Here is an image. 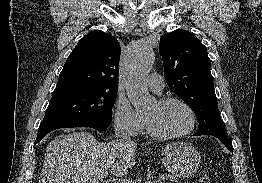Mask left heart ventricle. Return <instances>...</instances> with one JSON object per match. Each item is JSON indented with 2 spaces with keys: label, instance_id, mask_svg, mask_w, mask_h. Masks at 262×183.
<instances>
[{
  "label": "left heart ventricle",
  "instance_id": "left-heart-ventricle-1",
  "mask_svg": "<svg viewBox=\"0 0 262 183\" xmlns=\"http://www.w3.org/2000/svg\"><path fill=\"white\" fill-rule=\"evenodd\" d=\"M145 117L157 132L166 135L182 132L190 125L189 112L178 103L166 106L156 103L147 111Z\"/></svg>",
  "mask_w": 262,
  "mask_h": 183
}]
</instances>
